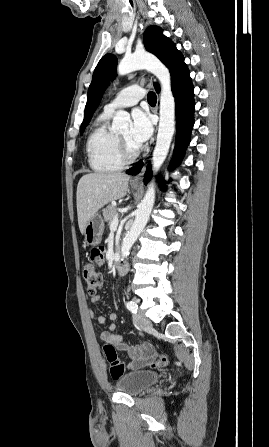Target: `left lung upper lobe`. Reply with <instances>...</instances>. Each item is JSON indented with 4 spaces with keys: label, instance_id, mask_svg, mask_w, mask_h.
I'll return each mask as SVG.
<instances>
[{
    "label": "left lung upper lobe",
    "instance_id": "5c2ea615",
    "mask_svg": "<svg viewBox=\"0 0 269 447\" xmlns=\"http://www.w3.org/2000/svg\"><path fill=\"white\" fill-rule=\"evenodd\" d=\"M144 44L146 50L156 55L168 68L172 69L177 58L181 55L177 51L175 44L162 34V29L157 26H150L144 33ZM117 57L106 54L99 61L93 73L92 82L88 89L87 104L85 107L84 121L80 127V134L88 125L93 112L100 103L101 97L107 88L109 81L116 76ZM155 88L158 84H154Z\"/></svg>",
    "mask_w": 269,
    "mask_h": 447
}]
</instances>
